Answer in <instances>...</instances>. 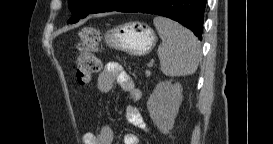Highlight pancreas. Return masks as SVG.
I'll list each match as a JSON object with an SVG mask.
<instances>
[{"mask_svg": "<svg viewBox=\"0 0 273 144\" xmlns=\"http://www.w3.org/2000/svg\"><path fill=\"white\" fill-rule=\"evenodd\" d=\"M145 74H146V76H149L151 74V72L150 71H146Z\"/></svg>", "mask_w": 273, "mask_h": 144, "instance_id": "1", "label": "pancreas"}]
</instances>
